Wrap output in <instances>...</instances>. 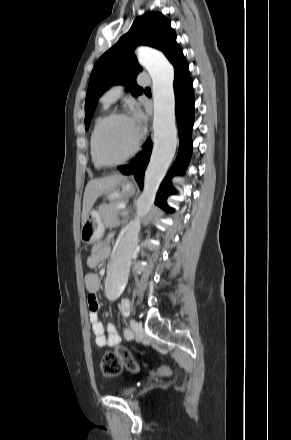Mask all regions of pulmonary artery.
<instances>
[{"label": "pulmonary artery", "mask_w": 291, "mask_h": 440, "mask_svg": "<svg viewBox=\"0 0 291 440\" xmlns=\"http://www.w3.org/2000/svg\"><path fill=\"white\" fill-rule=\"evenodd\" d=\"M148 81H149V77L146 73H140L136 78L137 84L141 86L146 85ZM122 92H123L122 85L112 86L102 95L101 100L105 105L109 106L118 100Z\"/></svg>", "instance_id": "obj_1"}]
</instances>
